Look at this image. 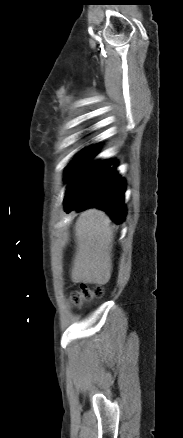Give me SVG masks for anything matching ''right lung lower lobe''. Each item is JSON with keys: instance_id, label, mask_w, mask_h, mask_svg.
<instances>
[{"instance_id": "right-lung-lower-lobe-1", "label": "right lung lower lobe", "mask_w": 183, "mask_h": 438, "mask_svg": "<svg viewBox=\"0 0 183 438\" xmlns=\"http://www.w3.org/2000/svg\"><path fill=\"white\" fill-rule=\"evenodd\" d=\"M97 146L83 150L68 166L69 181L65 195V211L97 207L106 211L116 223L126 216L125 181L115 171L114 160L94 161Z\"/></svg>"}]
</instances>
